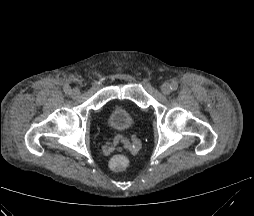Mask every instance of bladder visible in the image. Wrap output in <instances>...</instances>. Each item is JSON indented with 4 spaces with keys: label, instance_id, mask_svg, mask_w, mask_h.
Returning a JSON list of instances; mask_svg holds the SVG:
<instances>
[{
    "label": "bladder",
    "instance_id": "1",
    "mask_svg": "<svg viewBox=\"0 0 254 216\" xmlns=\"http://www.w3.org/2000/svg\"><path fill=\"white\" fill-rule=\"evenodd\" d=\"M136 112L123 105H112L108 111L107 121L109 126L116 131L129 129L136 119Z\"/></svg>",
    "mask_w": 254,
    "mask_h": 216
}]
</instances>
